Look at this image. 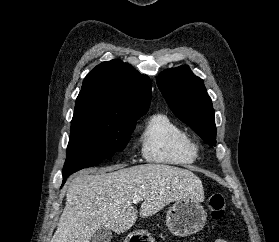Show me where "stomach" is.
Masks as SVG:
<instances>
[{
	"label": "stomach",
	"mask_w": 279,
	"mask_h": 242,
	"mask_svg": "<svg viewBox=\"0 0 279 242\" xmlns=\"http://www.w3.org/2000/svg\"><path fill=\"white\" fill-rule=\"evenodd\" d=\"M207 219L204 207L194 198L176 200L166 215L168 230L175 236L184 237L203 229ZM131 242H153L147 231L139 230L128 237Z\"/></svg>",
	"instance_id": "stomach-1"
}]
</instances>
